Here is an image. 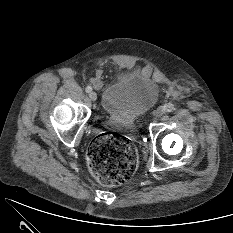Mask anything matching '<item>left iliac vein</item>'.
Segmentation results:
<instances>
[{
    "label": "left iliac vein",
    "mask_w": 233,
    "mask_h": 233,
    "mask_svg": "<svg viewBox=\"0 0 233 233\" xmlns=\"http://www.w3.org/2000/svg\"><path fill=\"white\" fill-rule=\"evenodd\" d=\"M165 113V109L163 107H159L156 112H155V116L156 117H161L163 116Z\"/></svg>",
    "instance_id": "left-iliac-vein-1"
}]
</instances>
